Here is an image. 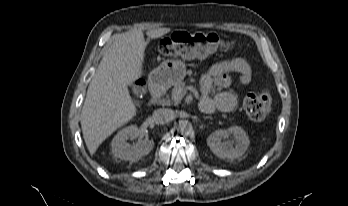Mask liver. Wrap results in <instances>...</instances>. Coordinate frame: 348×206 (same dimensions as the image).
Wrapping results in <instances>:
<instances>
[{
  "instance_id": "obj_1",
  "label": "liver",
  "mask_w": 348,
  "mask_h": 206,
  "mask_svg": "<svg viewBox=\"0 0 348 206\" xmlns=\"http://www.w3.org/2000/svg\"><path fill=\"white\" fill-rule=\"evenodd\" d=\"M170 30H149L146 42L142 31L118 34L105 52L89 84L80 117L83 138L91 155L105 139L136 115L137 108L128 86L142 77L144 52L149 40Z\"/></svg>"
}]
</instances>
